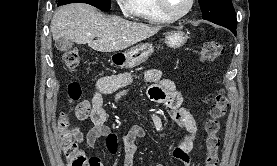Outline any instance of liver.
<instances>
[{"mask_svg": "<svg viewBox=\"0 0 277 166\" xmlns=\"http://www.w3.org/2000/svg\"><path fill=\"white\" fill-rule=\"evenodd\" d=\"M162 27L106 17L85 3L62 6L52 18L53 40L65 39L88 44L99 52H117L155 35ZM97 37V40L94 38Z\"/></svg>", "mask_w": 277, "mask_h": 166, "instance_id": "obj_1", "label": "liver"}]
</instances>
